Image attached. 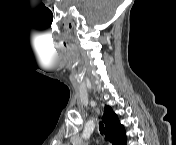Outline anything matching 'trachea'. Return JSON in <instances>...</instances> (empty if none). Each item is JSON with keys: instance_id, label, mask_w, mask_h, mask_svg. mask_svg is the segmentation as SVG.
I'll use <instances>...</instances> for the list:
<instances>
[{"instance_id": "1", "label": "trachea", "mask_w": 176, "mask_h": 145, "mask_svg": "<svg viewBox=\"0 0 176 145\" xmlns=\"http://www.w3.org/2000/svg\"><path fill=\"white\" fill-rule=\"evenodd\" d=\"M99 130H100V133H101V134H102L103 132H105L103 123H100V124H99Z\"/></svg>"}]
</instances>
